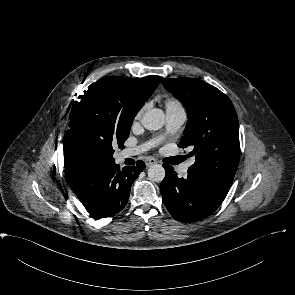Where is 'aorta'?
I'll return each mask as SVG.
<instances>
[{
  "instance_id": "1",
  "label": "aorta",
  "mask_w": 295,
  "mask_h": 295,
  "mask_svg": "<svg viewBox=\"0 0 295 295\" xmlns=\"http://www.w3.org/2000/svg\"><path fill=\"white\" fill-rule=\"evenodd\" d=\"M164 113L161 109L153 108L145 112L142 125L148 130H159L164 125ZM148 177L153 182H161L165 177V169L160 164H154L148 169Z\"/></svg>"
}]
</instances>
